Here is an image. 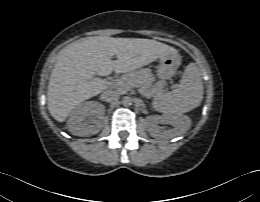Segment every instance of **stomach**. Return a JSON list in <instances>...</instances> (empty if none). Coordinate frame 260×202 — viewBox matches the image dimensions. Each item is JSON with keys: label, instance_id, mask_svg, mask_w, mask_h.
Segmentation results:
<instances>
[{"label": "stomach", "instance_id": "0dacf381", "mask_svg": "<svg viewBox=\"0 0 260 202\" xmlns=\"http://www.w3.org/2000/svg\"><path fill=\"white\" fill-rule=\"evenodd\" d=\"M180 64V59L176 53H169L161 56L157 66V75L161 79H169L176 72Z\"/></svg>", "mask_w": 260, "mask_h": 202}]
</instances>
